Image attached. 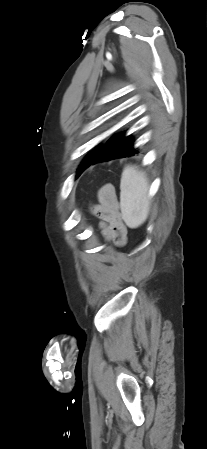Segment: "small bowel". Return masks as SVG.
I'll return each instance as SVG.
<instances>
[{
	"label": "small bowel",
	"instance_id": "small-bowel-1",
	"mask_svg": "<svg viewBox=\"0 0 207 449\" xmlns=\"http://www.w3.org/2000/svg\"><path fill=\"white\" fill-rule=\"evenodd\" d=\"M99 203L91 210L100 219V228L104 238L123 245L127 239V229L122 220L119 204L114 189L103 187L98 194Z\"/></svg>",
	"mask_w": 207,
	"mask_h": 449
}]
</instances>
